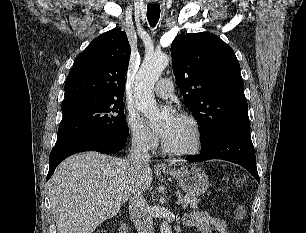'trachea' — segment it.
<instances>
[{"label":"trachea","mask_w":306,"mask_h":233,"mask_svg":"<svg viewBox=\"0 0 306 233\" xmlns=\"http://www.w3.org/2000/svg\"><path fill=\"white\" fill-rule=\"evenodd\" d=\"M160 17V6L158 4H149L147 6V19L151 27H154Z\"/></svg>","instance_id":"1"}]
</instances>
